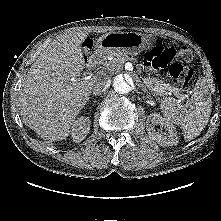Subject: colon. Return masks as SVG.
I'll return each mask as SVG.
<instances>
[{
    "label": "colon",
    "mask_w": 221,
    "mask_h": 221,
    "mask_svg": "<svg viewBox=\"0 0 221 221\" xmlns=\"http://www.w3.org/2000/svg\"><path fill=\"white\" fill-rule=\"evenodd\" d=\"M91 50V45H86V51ZM176 57V61L173 59ZM193 58L191 49L182 45L177 50L174 47H154L147 54L146 59L156 68L169 66L172 81L178 86H185L192 78V69L186 65Z\"/></svg>",
    "instance_id": "obj_1"
}]
</instances>
